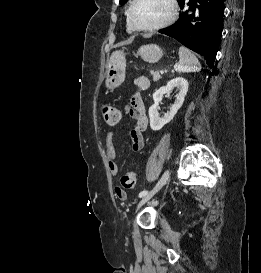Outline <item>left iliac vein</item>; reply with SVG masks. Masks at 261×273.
Instances as JSON below:
<instances>
[{
	"label": "left iliac vein",
	"instance_id": "4c4485c4",
	"mask_svg": "<svg viewBox=\"0 0 261 273\" xmlns=\"http://www.w3.org/2000/svg\"><path fill=\"white\" fill-rule=\"evenodd\" d=\"M169 176H170V171L166 170L165 173L163 174L162 178H161V181H162L161 182V186L164 185L167 182V180L169 179ZM158 190H152L151 192H149L148 194H146L145 196H143L141 198V200L139 201V203L137 204L136 209H138L144 203H146Z\"/></svg>",
	"mask_w": 261,
	"mask_h": 273
}]
</instances>
